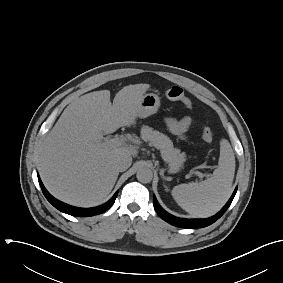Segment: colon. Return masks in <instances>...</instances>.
I'll list each match as a JSON object with an SVG mask.
<instances>
[{"label":"colon","instance_id":"obj_1","mask_svg":"<svg viewBox=\"0 0 283 283\" xmlns=\"http://www.w3.org/2000/svg\"><path fill=\"white\" fill-rule=\"evenodd\" d=\"M165 96L169 100L180 101L186 107L192 108V103H191L190 99L185 95L183 89L178 87V86H173V87L167 89L166 92H165ZM202 138L206 142H212L213 138H214L213 131L209 127L204 126L203 129H202Z\"/></svg>","mask_w":283,"mask_h":283}]
</instances>
